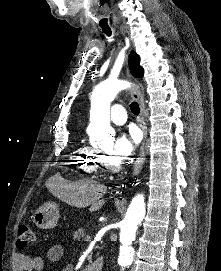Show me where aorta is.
Returning a JSON list of instances; mask_svg holds the SVG:
<instances>
[{
  "label": "aorta",
  "mask_w": 221,
  "mask_h": 271,
  "mask_svg": "<svg viewBox=\"0 0 221 271\" xmlns=\"http://www.w3.org/2000/svg\"><path fill=\"white\" fill-rule=\"evenodd\" d=\"M128 86L129 83L126 81L108 79L95 88L91 103V122L101 133L112 131L109 116L110 104L116 95ZM145 213L144 196L138 194L132 199L120 229L121 246L118 264L122 271L133 262L135 251L131 245L135 240L137 227L142 222Z\"/></svg>",
  "instance_id": "762f6f07"
}]
</instances>
